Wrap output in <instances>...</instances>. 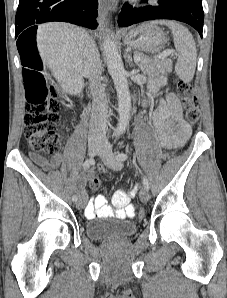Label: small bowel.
Masks as SVG:
<instances>
[{"instance_id": "c3829d8e", "label": "small bowel", "mask_w": 227, "mask_h": 298, "mask_svg": "<svg viewBox=\"0 0 227 298\" xmlns=\"http://www.w3.org/2000/svg\"><path fill=\"white\" fill-rule=\"evenodd\" d=\"M164 83L165 78L163 76L152 80L149 86V97L144 103L146 106L153 102L154 95ZM151 122L153 132L159 144L165 150L180 148L191 135V126L184 120L180 101L174 93H168L160 100L158 107L152 114ZM30 157L38 166L45 170L59 166L62 161L60 154L54 155L51 160H47L35 152H31ZM90 176V172L82 173L77 183L80 190V198L84 199L85 203L87 199L85 185ZM134 194L135 190L130 192L116 191L113 196L114 208L107 203L104 195H97L87 203L84 210L85 217L88 219H92L95 216L131 218L134 216V206L130 203V199Z\"/></svg>"}]
</instances>
